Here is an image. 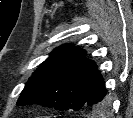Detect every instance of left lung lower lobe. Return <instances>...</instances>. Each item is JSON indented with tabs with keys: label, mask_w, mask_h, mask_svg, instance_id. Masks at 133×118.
<instances>
[{
	"label": "left lung lower lobe",
	"mask_w": 133,
	"mask_h": 118,
	"mask_svg": "<svg viewBox=\"0 0 133 118\" xmlns=\"http://www.w3.org/2000/svg\"><path fill=\"white\" fill-rule=\"evenodd\" d=\"M106 95L105 83L103 78L99 80L94 90L92 91L90 97L87 100L86 107H93L96 105H103L106 100L104 97Z\"/></svg>",
	"instance_id": "1"
}]
</instances>
